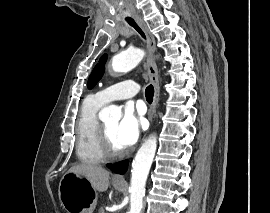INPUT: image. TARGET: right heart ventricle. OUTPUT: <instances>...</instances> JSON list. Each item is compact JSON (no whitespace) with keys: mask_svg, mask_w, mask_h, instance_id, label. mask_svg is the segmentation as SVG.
<instances>
[{"mask_svg":"<svg viewBox=\"0 0 270 213\" xmlns=\"http://www.w3.org/2000/svg\"><path fill=\"white\" fill-rule=\"evenodd\" d=\"M103 104L94 96L86 98L81 106L76 120V154L87 163H101L106 158L99 143L98 111Z\"/></svg>","mask_w":270,"mask_h":213,"instance_id":"1","label":"right heart ventricle"}]
</instances>
